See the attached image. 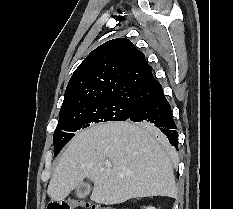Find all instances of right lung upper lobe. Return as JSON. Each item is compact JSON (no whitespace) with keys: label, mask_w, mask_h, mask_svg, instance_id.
Segmentation results:
<instances>
[{"label":"right lung upper lobe","mask_w":233,"mask_h":209,"mask_svg":"<svg viewBox=\"0 0 233 209\" xmlns=\"http://www.w3.org/2000/svg\"><path fill=\"white\" fill-rule=\"evenodd\" d=\"M161 91L144 54L128 39L117 38L94 49L74 71L60 114L104 99L140 105Z\"/></svg>","instance_id":"cb5924a9"}]
</instances>
